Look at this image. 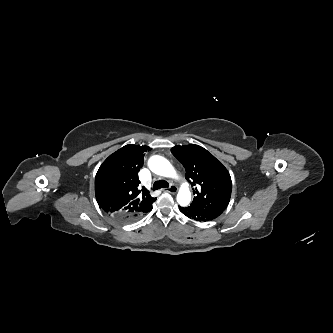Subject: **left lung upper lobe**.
Segmentation results:
<instances>
[{
    "label": "left lung upper lobe",
    "instance_id": "5c2ea615",
    "mask_svg": "<svg viewBox=\"0 0 333 333\" xmlns=\"http://www.w3.org/2000/svg\"><path fill=\"white\" fill-rule=\"evenodd\" d=\"M171 152L185 167L186 179L196 186L190 206L224 211L230 201L232 182L221 162L198 145L175 146Z\"/></svg>",
    "mask_w": 333,
    "mask_h": 333
}]
</instances>
